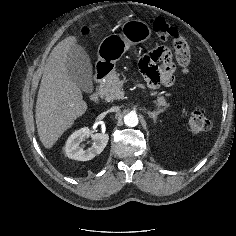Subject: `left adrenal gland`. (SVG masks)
I'll list each match as a JSON object with an SVG mask.
<instances>
[{"label":"left adrenal gland","mask_w":236,"mask_h":236,"mask_svg":"<svg viewBox=\"0 0 236 236\" xmlns=\"http://www.w3.org/2000/svg\"><path fill=\"white\" fill-rule=\"evenodd\" d=\"M162 112V110H158V111H154V112H150L148 111L147 114L150 118L153 119L154 123H156L158 115Z\"/></svg>","instance_id":"a2214340"}]
</instances>
